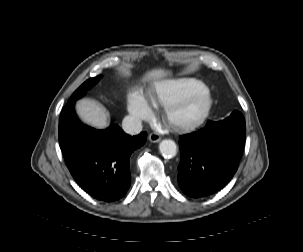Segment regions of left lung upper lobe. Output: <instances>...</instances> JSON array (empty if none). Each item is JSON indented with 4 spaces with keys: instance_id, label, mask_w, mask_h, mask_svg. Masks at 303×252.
I'll return each instance as SVG.
<instances>
[{
    "instance_id": "1",
    "label": "left lung upper lobe",
    "mask_w": 303,
    "mask_h": 252,
    "mask_svg": "<svg viewBox=\"0 0 303 252\" xmlns=\"http://www.w3.org/2000/svg\"><path fill=\"white\" fill-rule=\"evenodd\" d=\"M215 124H245V120L243 115L238 111H233L232 114L227 117L226 119L219 121V122H213L209 121L207 125L212 126Z\"/></svg>"
}]
</instances>
